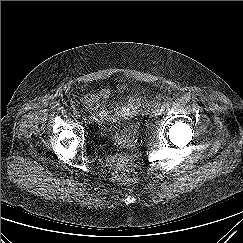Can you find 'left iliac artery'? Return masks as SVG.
Listing matches in <instances>:
<instances>
[{
	"instance_id": "left-iliac-artery-1",
	"label": "left iliac artery",
	"mask_w": 243,
	"mask_h": 243,
	"mask_svg": "<svg viewBox=\"0 0 243 243\" xmlns=\"http://www.w3.org/2000/svg\"><path fill=\"white\" fill-rule=\"evenodd\" d=\"M166 106H167L166 104H163V105L161 106V109H160V110H161V111H164L165 108H166Z\"/></svg>"
}]
</instances>
